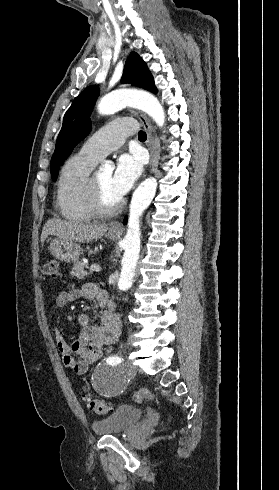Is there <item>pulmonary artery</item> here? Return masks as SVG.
I'll return each instance as SVG.
<instances>
[{
    "label": "pulmonary artery",
    "instance_id": "e3ab8cb5",
    "mask_svg": "<svg viewBox=\"0 0 279 490\" xmlns=\"http://www.w3.org/2000/svg\"><path fill=\"white\" fill-rule=\"evenodd\" d=\"M138 128L139 125L130 117H115L113 122L93 132L83 143L79 152L98 162L108 153L119 148L125 142L126 137Z\"/></svg>",
    "mask_w": 279,
    "mask_h": 490
}]
</instances>
